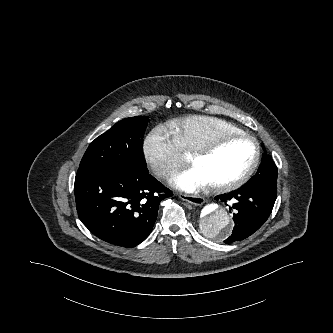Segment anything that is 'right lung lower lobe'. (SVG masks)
Masks as SVG:
<instances>
[{"mask_svg":"<svg viewBox=\"0 0 333 333\" xmlns=\"http://www.w3.org/2000/svg\"><path fill=\"white\" fill-rule=\"evenodd\" d=\"M78 216L99 239L134 247L150 234L159 203L172 196L147 171L105 166L78 169L75 177Z\"/></svg>","mask_w":333,"mask_h":333,"instance_id":"98d812e1","label":"right lung lower lobe"}]
</instances>
